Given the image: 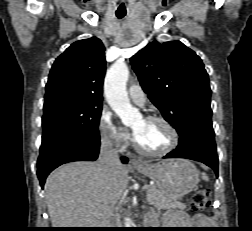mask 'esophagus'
I'll list each match as a JSON object with an SVG mask.
<instances>
[{
    "label": "esophagus",
    "mask_w": 252,
    "mask_h": 231,
    "mask_svg": "<svg viewBox=\"0 0 252 231\" xmlns=\"http://www.w3.org/2000/svg\"><path fill=\"white\" fill-rule=\"evenodd\" d=\"M131 164L133 166H143V163L140 160H137V159H132Z\"/></svg>",
    "instance_id": "34e87169"
}]
</instances>
